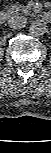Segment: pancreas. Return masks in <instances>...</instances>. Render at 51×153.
Here are the masks:
<instances>
[{"label":"pancreas","instance_id":"pancreas-1","mask_svg":"<svg viewBox=\"0 0 51 153\" xmlns=\"http://www.w3.org/2000/svg\"><path fill=\"white\" fill-rule=\"evenodd\" d=\"M8 12L11 15H17V14L29 15L30 14L27 7L22 4H15V5L11 6V8H9Z\"/></svg>","mask_w":51,"mask_h":153}]
</instances>
